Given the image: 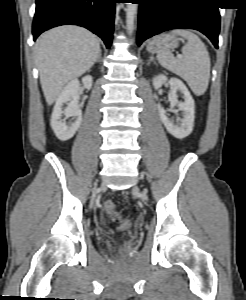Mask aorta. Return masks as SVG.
<instances>
[{
  "label": "aorta",
  "instance_id": "762f6f07",
  "mask_svg": "<svg viewBox=\"0 0 246 300\" xmlns=\"http://www.w3.org/2000/svg\"><path fill=\"white\" fill-rule=\"evenodd\" d=\"M137 13V4L127 3L126 7V29L129 35L133 33Z\"/></svg>",
  "mask_w": 246,
  "mask_h": 300
}]
</instances>
